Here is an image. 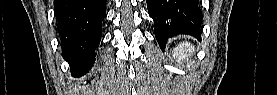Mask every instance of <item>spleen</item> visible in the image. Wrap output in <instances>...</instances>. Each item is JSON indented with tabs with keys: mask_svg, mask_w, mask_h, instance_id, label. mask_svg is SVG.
<instances>
[{
	"mask_svg": "<svg viewBox=\"0 0 277 95\" xmlns=\"http://www.w3.org/2000/svg\"><path fill=\"white\" fill-rule=\"evenodd\" d=\"M175 55L179 62L188 61L189 56L194 55V48L190 43L183 42L175 49Z\"/></svg>",
	"mask_w": 277,
	"mask_h": 95,
	"instance_id": "obj_1",
	"label": "spleen"
}]
</instances>
